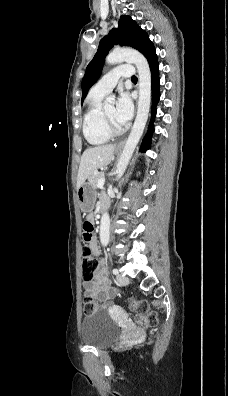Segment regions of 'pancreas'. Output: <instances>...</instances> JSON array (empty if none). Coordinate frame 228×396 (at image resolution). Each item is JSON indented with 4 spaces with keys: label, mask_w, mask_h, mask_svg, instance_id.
<instances>
[{
    "label": "pancreas",
    "mask_w": 228,
    "mask_h": 396,
    "mask_svg": "<svg viewBox=\"0 0 228 396\" xmlns=\"http://www.w3.org/2000/svg\"><path fill=\"white\" fill-rule=\"evenodd\" d=\"M103 172L94 173L89 177V183L94 187L97 188L98 181L103 177Z\"/></svg>",
    "instance_id": "pancreas-1"
}]
</instances>
